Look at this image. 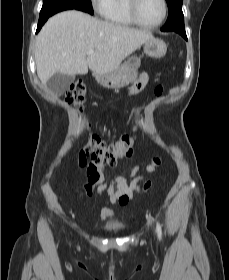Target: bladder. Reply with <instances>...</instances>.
<instances>
[{"label": "bladder", "mask_w": 229, "mask_h": 280, "mask_svg": "<svg viewBox=\"0 0 229 280\" xmlns=\"http://www.w3.org/2000/svg\"><path fill=\"white\" fill-rule=\"evenodd\" d=\"M123 229H125V226L122 224H118V225L112 226L110 230L111 231H121Z\"/></svg>", "instance_id": "bladder-1"}]
</instances>
